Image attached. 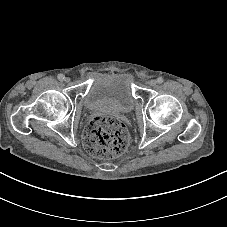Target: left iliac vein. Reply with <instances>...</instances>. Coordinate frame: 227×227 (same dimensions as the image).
Listing matches in <instances>:
<instances>
[{
    "label": "left iliac vein",
    "mask_w": 227,
    "mask_h": 227,
    "mask_svg": "<svg viewBox=\"0 0 227 227\" xmlns=\"http://www.w3.org/2000/svg\"><path fill=\"white\" fill-rule=\"evenodd\" d=\"M156 80L152 79L148 82L149 86H155L156 85Z\"/></svg>",
    "instance_id": "1"
}]
</instances>
